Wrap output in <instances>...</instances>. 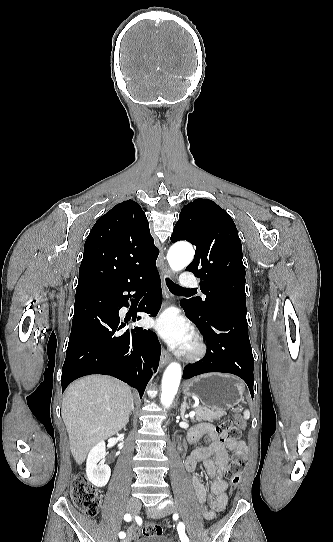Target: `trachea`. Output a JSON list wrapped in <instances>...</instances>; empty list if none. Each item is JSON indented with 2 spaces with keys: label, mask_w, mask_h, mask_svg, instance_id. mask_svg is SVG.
Wrapping results in <instances>:
<instances>
[{
  "label": "trachea",
  "mask_w": 333,
  "mask_h": 542,
  "mask_svg": "<svg viewBox=\"0 0 333 542\" xmlns=\"http://www.w3.org/2000/svg\"><path fill=\"white\" fill-rule=\"evenodd\" d=\"M167 286L170 291H176V290H182L183 287H180V285L175 284L172 282V280H169V278L166 279Z\"/></svg>",
  "instance_id": "1"
}]
</instances>
